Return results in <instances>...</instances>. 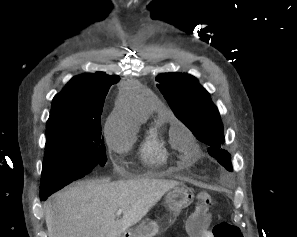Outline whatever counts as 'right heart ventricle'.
I'll use <instances>...</instances> for the list:
<instances>
[{
    "mask_svg": "<svg viewBox=\"0 0 297 237\" xmlns=\"http://www.w3.org/2000/svg\"><path fill=\"white\" fill-rule=\"evenodd\" d=\"M139 154L141 160L148 166H158L167 162L169 147L158 126L154 125L147 130Z\"/></svg>",
    "mask_w": 297,
    "mask_h": 237,
    "instance_id": "1",
    "label": "right heart ventricle"
}]
</instances>
